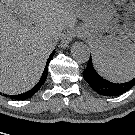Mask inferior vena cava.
Here are the masks:
<instances>
[{
    "mask_svg": "<svg viewBox=\"0 0 135 135\" xmlns=\"http://www.w3.org/2000/svg\"><path fill=\"white\" fill-rule=\"evenodd\" d=\"M57 40H58V36L55 35V36H53V39H51V43L55 44Z\"/></svg>",
    "mask_w": 135,
    "mask_h": 135,
    "instance_id": "inferior-vena-cava-1",
    "label": "inferior vena cava"
}]
</instances>
